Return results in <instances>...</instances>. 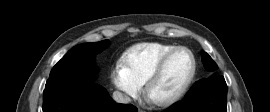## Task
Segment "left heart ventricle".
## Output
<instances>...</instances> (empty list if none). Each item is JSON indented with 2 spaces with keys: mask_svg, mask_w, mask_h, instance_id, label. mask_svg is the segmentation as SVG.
Returning a JSON list of instances; mask_svg holds the SVG:
<instances>
[{
  "mask_svg": "<svg viewBox=\"0 0 270 112\" xmlns=\"http://www.w3.org/2000/svg\"><path fill=\"white\" fill-rule=\"evenodd\" d=\"M191 69L192 60L186 51L175 54L167 64L162 76L152 87V99L161 100L179 90L187 80Z\"/></svg>",
  "mask_w": 270,
  "mask_h": 112,
  "instance_id": "left-heart-ventricle-1",
  "label": "left heart ventricle"
}]
</instances>
